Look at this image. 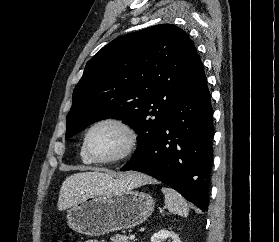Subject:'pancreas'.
<instances>
[{"instance_id": "1", "label": "pancreas", "mask_w": 279, "mask_h": 242, "mask_svg": "<svg viewBox=\"0 0 279 242\" xmlns=\"http://www.w3.org/2000/svg\"><path fill=\"white\" fill-rule=\"evenodd\" d=\"M111 241L112 242H129L128 236L120 235V234H115L114 236H112Z\"/></svg>"}]
</instances>
